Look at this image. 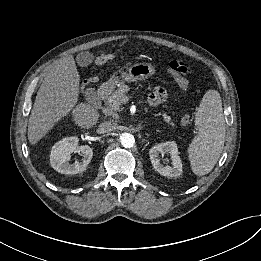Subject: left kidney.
<instances>
[{"mask_svg":"<svg viewBox=\"0 0 261 261\" xmlns=\"http://www.w3.org/2000/svg\"><path fill=\"white\" fill-rule=\"evenodd\" d=\"M159 154L170 155L172 166H164L160 163ZM177 144L174 141H168L153 146L150 151V160L153 168L163 176L167 177H178L182 173V162L179 157Z\"/></svg>","mask_w":261,"mask_h":261,"instance_id":"left-kidney-1","label":"left kidney"}]
</instances>
